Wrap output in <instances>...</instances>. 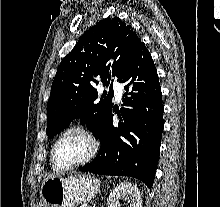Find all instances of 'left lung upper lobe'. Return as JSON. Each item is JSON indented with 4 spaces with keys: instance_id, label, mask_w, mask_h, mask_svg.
Listing matches in <instances>:
<instances>
[{
    "instance_id": "left-lung-upper-lobe-1",
    "label": "left lung upper lobe",
    "mask_w": 220,
    "mask_h": 207,
    "mask_svg": "<svg viewBox=\"0 0 220 207\" xmlns=\"http://www.w3.org/2000/svg\"><path fill=\"white\" fill-rule=\"evenodd\" d=\"M140 43L131 26L118 17L105 18L82 35L61 61L51 86L47 103L49 138L68 127L75 118H80L94 135L98 133L113 107L110 79L119 80ZM98 77L109 87L99 102L94 88Z\"/></svg>"
}]
</instances>
